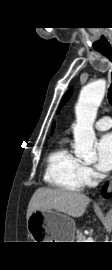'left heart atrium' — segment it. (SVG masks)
Segmentation results:
<instances>
[{"instance_id":"left-heart-atrium-1","label":"left heart atrium","mask_w":112,"mask_h":270,"mask_svg":"<svg viewBox=\"0 0 112 270\" xmlns=\"http://www.w3.org/2000/svg\"><path fill=\"white\" fill-rule=\"evenodd\" d=\"M97 163L96 167L102 172L112 169V133H107L101 137L96 145Z\"/></svg>"}]
</instances>
